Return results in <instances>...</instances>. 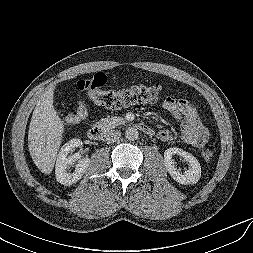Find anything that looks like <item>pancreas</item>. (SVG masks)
<instances>
[{
	"label": "pancreas",
	"mask_w": 253,
	"mask_h": 253,
	"mask_svg": "<svg viewBox=\"0 0 253 253\" xmlns=\"http://www.w3.org/2000/svg\"><path fill=\"white\" fill-rule=\"evenodd\" d=\"M124 123L125 120L121 117H107L97 122V125L102 129H111Z\"/></svg>",
	"instance_id": "cf45deb5"
}]
</instances>
